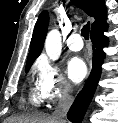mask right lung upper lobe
Masks as SVG:
<instances>
[{
    "mask_svg": "<svg viewBox=\"0 0 118 123\" xmlns=\"http://www.w3.org/2000/svg\"><path fill=\"white\" fill-rule=\"evenodd\" d=\"M75 5L84 10L89 16L94 17L95 21L91 25V35L97 34L105 29L107 11L103 0H71ZM49 16L47 11H43L35 24L31 39L30 51L26 63V69H29L34 60L40 55L44 40L47 34Z\"/></svg>",
    "mask_w": 118,
    "mask_h": 123,
    "instance_id": "right-lung-upper-lobe-1",
    "label": "right lung upper lobe"
}]
</instances>
